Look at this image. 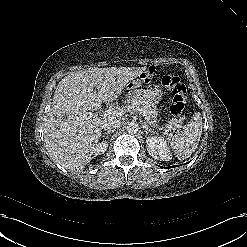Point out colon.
<instances>
[{
  "label": "colon",
  "instance_id": "colon-1",
  "mask_svg": "<svg viewBox=\"0 0 247 247\" xmlns=\"http://www.w3.org/2000/svg\"><path fill=\"white\" fill-rule=\"evenodd\" d=\"M162 85L169 90L172 95V102L170 105V112L175 116L182 115L186 104V87L179 77L172 75H165L161 79Z\"/></svg>",
  "mask_w": 247,
  "mask_h": 247
}]
</instances>
